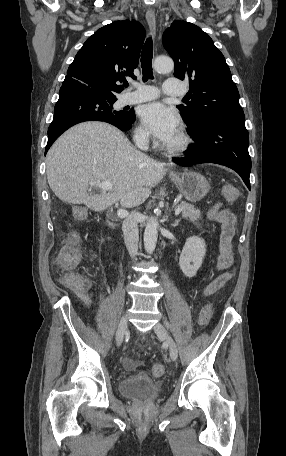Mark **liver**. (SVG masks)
<instances>
[{
    "instance_id": "obj_1",
    "label": "liver",
    "mask_w": 286,
    "mask_h": 456,
    "mask_svg": "<svg viewBox=\"0 0 286 456\" xmlns=\"http://www.w3.org/2000/svg\"><path fill=\"white\" fill-rule=\"evenodd\" d=\"M165 164L133 147L116 127L102 122L78 124L57 139L46 158L50 188L62 201L104 211L120 201L141 205L166 174ZM108 181L113 188L89 194V182Z\"/></svg>"
}]
</instances>
